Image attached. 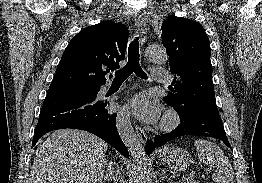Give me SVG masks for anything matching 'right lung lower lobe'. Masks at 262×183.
Listing matches in <instances>:
<instances>
[{
	"mask_svg": "<svg viewBox=\"0 0 262 183\" xmlns=\"http://www.w3.org/2000/svg\"><path fill=\"white\" fill-rule=\"evenodd\" d=\"M100 86L67 92H48L34 130L32 147L45 133L62 128L91 132L112 145L125 157L128 150L121 140L108 101L97 99Z\"/></svg>",
	"mask_w": 262,
	"mask_h": 183,
	"instance_id": "98d812e1",
	"label": "right lung lower lobe"
}]
</instances>
